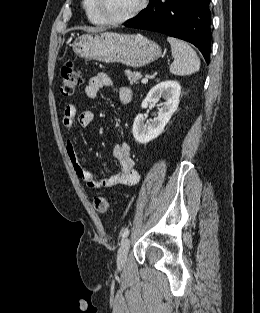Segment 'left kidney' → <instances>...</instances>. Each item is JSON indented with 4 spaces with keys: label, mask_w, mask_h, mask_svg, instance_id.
<instances>
[{
    "label": "left kidney",
    "mask_w": 260,
    "mask_h": 313,
    "mask_svg": "<svg viewBox=\"0 0 260 313\" xmlns=\"http://www.w3.org/2000/svg\"><path fill=\"white\" fill-rule=\"evenodd\" d=\"M180 94L179 83L172 80L163 81L149 91L141 104L142 108H147L150 103L158 104L161 98L164 102L158 104V116L150 123L145 122L143 114L140 113L136 116L132 133L137 142L146 144L163 132L171 116L178 108Z\"/></svg>",
    "instance_id": "obj_1"
}]
</instances>
